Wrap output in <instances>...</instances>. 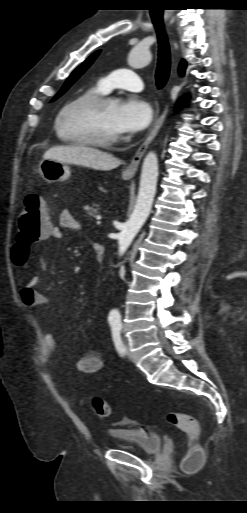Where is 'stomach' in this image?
Returning a JSON list of instances; mask_svg holds the SVG:
<instances>
[{
	"label": "stomach",
	"instance_id": "0dacf381",
	"mask_svg": "<svg viewBox=\"0 0 247 513\" xmlns=\"http://www.w3.org/2000/svg\"><path fill=\"white\" fill-rule=\"evenodd\" d=\"M39 174L48 183L63 182L70 177V168L66 163L53 159H44L40 162L38 168ZM127 180L131 177L122 175Z\"/></svg>",
	"mask_w": 247,
	"mask_h": 513
}]
</instances>
